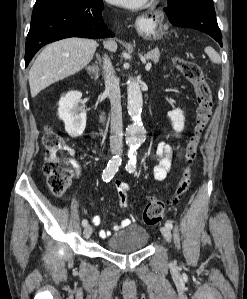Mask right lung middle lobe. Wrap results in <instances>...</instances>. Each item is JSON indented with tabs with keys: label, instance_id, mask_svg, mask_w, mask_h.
<instances>
[{
	"label": "right lung middle lobe",
	"instance_id": "obj_1",
	"mask_svg": "<svg viewBox=\"0 0 247 299\" xmlns=\"http://www.w3.org/2000/svg\"><path fill=\"white\" fill-rule=\"evenodd\" d=\"M70 1H76V0H36L32 17H35L39 15L40 13L55 7L57 5H60L62 3L70 2Z\"/></svg>",
	"mask_w": 247,
	"mask_h": 299
}]
</instances>
